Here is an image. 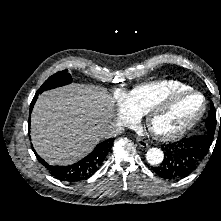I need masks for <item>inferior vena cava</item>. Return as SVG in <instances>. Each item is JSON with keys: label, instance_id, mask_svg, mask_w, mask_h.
Here are the masks:
<instances>
[{"label": "inferior vena cava", "instance_id": "obj_1", "mask_svg": "<svg viewBox=\"0 0 221 221\" xmlns=\"http://www.w3.org/2000/svg\"><path fill=\"white\" fill-rule=\"evenodd\" d=\"M123 128L117 124L108 125L101 133L102 138H112L122 133Z\"/></svg>", "mask_w": 221, "mask_h": 221}]
</instances>
